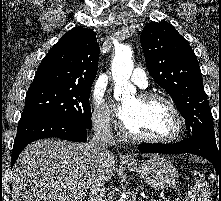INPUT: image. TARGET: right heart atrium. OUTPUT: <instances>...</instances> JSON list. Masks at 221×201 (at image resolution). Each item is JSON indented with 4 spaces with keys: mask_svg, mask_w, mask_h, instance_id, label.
<instances>
[{
    "mask_svg": "<svg viewBox=\"0 0 221 201\" xmlns=\"http://www.w3.org/2000/svg\"><path fill=\"white\" fill-rule=\"evenodd\" d=\"M92 122L99 130H108L111 126V116L103 96L98 94L94 97L92 110Z\"/></svg>",
    "mask_w": 221,
    "mask_h": 201,
    "instance_id": "1",
    "label": "right heart atrium"
}]
</instances>
